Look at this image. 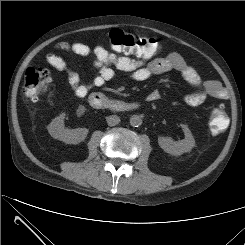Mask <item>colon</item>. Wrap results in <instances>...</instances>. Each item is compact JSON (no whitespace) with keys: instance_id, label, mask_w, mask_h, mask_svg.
<instances>
[{"instance_id":"5ec220e1","label":"colon","mask_w":245,"mask_h":245,"mask_svg":"<svg viewBox=\"0 0 245 245\" xmlns=\"http://www.w3.org/2000/svg\"><path fill=\"white\" fill-rule=\"evenodd\" d=\"M111 46L119 52L136 55L144 60H151L159 53V44L150 37L136 36L120 29L109 32ZM51 81L50 71L46 68L30 66L24 73V93L31 101H36L46 90ZM228 125V116L222 105L211 110L209 128L216 136L222 133Z\"/></svg>"}]
</instances>
